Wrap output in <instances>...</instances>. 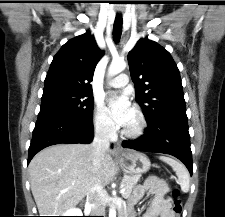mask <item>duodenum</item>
I'll list each match as a JSON object with an SVG mask.
<instances>
[{
    "label": "duodenum",
    "instance_id": "duodenum-1",
    "mask_svg": "<svg viewBox=\"0 0 225 217\" xmlns=\"http://www.w3.org/2000/svg\"><path fill=\"white\" fill-rule=\"evenodd\" d=\"M120 217H128V216L122 215V216H120Z\"/></svg>",
    "mask_w": 225,
    "mask_h": 217
}]
</instances>
